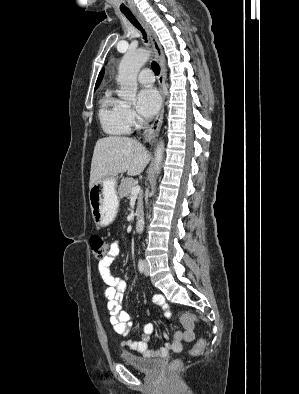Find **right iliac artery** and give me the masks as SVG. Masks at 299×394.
Listing matches in <instances>:
<instances>
[{
    "label": "right iliac artery",
    "instance_id": "right-iliac-artery-1",
    "mask_svg": "<svg viewBox=\"0 0 299 394\" xmlns=\"http://www.w3.org/2000/svg\"><path fill=\"white\" fill-rule=\"evenodd\" d=\"M144 268H145L144 260L140 259L138 262V269H139L140 273L144 272Z\"/></svg>",
    "mask_w": 299,
    "mask_h": 394
}]
</instances>
